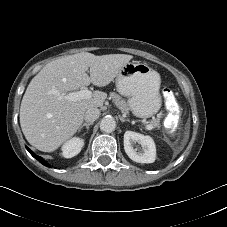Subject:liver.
I'll use <instances>...</instances> for the list:
<instances>
[{
  "label": "liver",
  "mask_w": 227,
  "mask_h": 227,
  "mask_svg": "<svg viewBox=\"0 0 227 227\" xmlns=\"http://www.w3.org/2000/svg\"><path fill=\"white\" fill-rule=\"evenodd\" d=\"M132 58L81 52L45 65L29 83L21 102L20 125L26 140L43 152L58 149L77 132L85 112L102 107L107 98L105 92L94 91L88 99L68 101V92L90 84L107 86Z\"/></svg>",
  "instance_id": "6515ba94"
}]
</instances>
